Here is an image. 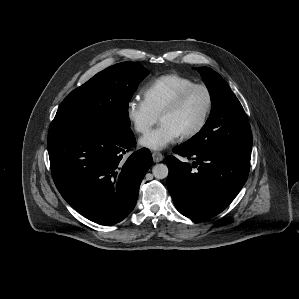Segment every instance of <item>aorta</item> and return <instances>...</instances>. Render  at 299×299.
Instances as JSON below:
<instances>
[{
	"label": "aorta",
	"instance_id": "obj_1",
	"mask_svg": "<svg viewBox=\"0 0 299 299\" xmlns=\"http://www.w3.org/2000/svg\"><path fill=\"white\" fill-rule=\"evenodd\" d=\"M152 173L156 179H164L168 176L169 170L165 164H156L152 169Z\"/></svg>",
	"mask_w": 299,
	"mask_h": 299
}]
</instances>
